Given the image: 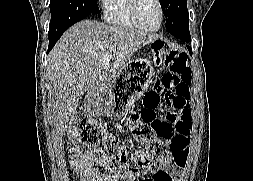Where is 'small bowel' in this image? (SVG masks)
<instances>
[{
    "instance_id": "small-bowel-1",
    "label": "small bowel",
    "mask_w": 253,
    "mask_h": 181,
    "mask_svg": "<svg viewBox=\"0 0 253 181\" xmlns=\"http://www.w3.org/2000/svg\"><path fill=\"white\" fill-rule=\"evenodd\" d=\"M172 130H180L174 143V160L166 163L164 167H150V178L147 181H181V174L186 167L191 141V117L184 118L177 125H172ZM70 166L79 181H134L135 176L131 173L112 174L102 172L97 168L92 155L71 148L69 151Z\"/></svg>"
}]
</instances>
